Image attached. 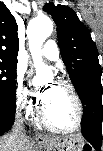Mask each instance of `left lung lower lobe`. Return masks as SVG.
Here are the masks:
<instances>
[{
	"mask_svg": "<svg viewBox=\"0 0 103 151\" xmlns=\"http://www.w3.org/2000/svg\"><path fill=\"white\" fill-rule=\"evenodd\" d=\"M99 73H89L76 90L83 104V117L81 121L84 138L100 151L102 143V84Z\"/></svg>",
	"mask_w": 103,
	"mask_h": 151,
	"instance_id": "left-lung-lower-lobe-1",
	"label": "left lung lower lobe"
}]
</instances>
